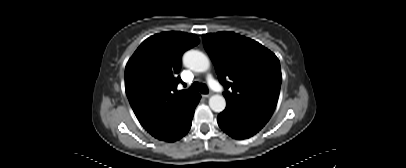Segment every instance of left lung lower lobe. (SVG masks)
<instances>
[{
  "instance_id": "obj_1",
  "label": "left lung lower lobe",
  "mask_w": 406,
  "mask_h": 168,
  "mask_svg": "<svg viewBox=\"0 0 406 168\" xmlns=\"http://www.w3.org/2000/svg\"><path fill=\"white\" fill-rule=\"evenodd\" d=\"M270 117L269 114L227 102L225 110L218 115L217 122L231 137L245 139L259 132Z\"/></svg>"
}]
</instances>
